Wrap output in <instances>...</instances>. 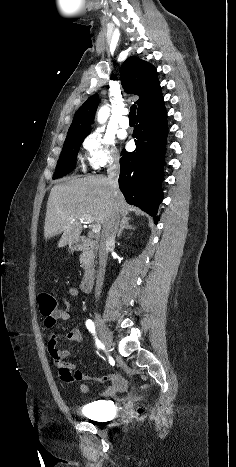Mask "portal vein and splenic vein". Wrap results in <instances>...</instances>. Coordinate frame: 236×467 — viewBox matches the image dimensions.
<instances>
[{"mask_svg": "<svg viewBox=\"0 0 236 467\" xmlns=\"http://www.w3.org/2000/svg\"><path fill=\"white\" fill-rule=\"evenodd\" d=\"M82 221H86L87 223H93V219L91 216H86L82 219ZM101 230V225L100 224H94L92 227V232L93 233H99Z\"/></svg>", "mask_w": 236, "mask_h": 467, "instance_id": "1", "label": "portal vein and splenic vein"}]
</instances>
